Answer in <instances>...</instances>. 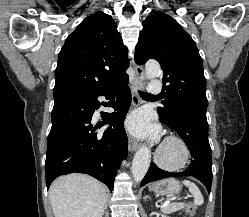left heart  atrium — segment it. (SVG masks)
I'll return each instance as SVG.
<instances>
[{
  "instance_id": "1",
  "label": "left heart atrium",
  "mask_w": 249,
  "mask_h": 217,
  "mask_svg": "<svg viewBox=\"0 0 249 217\" xmlns=\"http://www.w3.org/2000/svg\"><path fill=\"white\" fill-rule=\"evenodd\" d=\"M128 128L138 136L157 135V128L149 123L148 117L143 113H135L127 121Z\"/></svg>"
}]
</instances>
